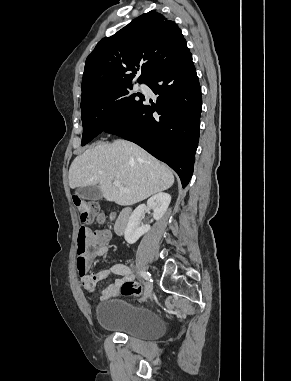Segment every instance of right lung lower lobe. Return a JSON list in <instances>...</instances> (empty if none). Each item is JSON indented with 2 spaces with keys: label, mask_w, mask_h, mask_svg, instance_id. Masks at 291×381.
Listing matches in <instances>:
<instances>
[{
  "label": "right lung lower lobe",
  "mask_w": 291,
  "mask_h": 381,
  "mask_svg": "<svg viewBox=\"0 0 291 381\" xmlns=\"http://www.w3.org/2000/svg\"><path fill=\"white\" fill-rule=\"evenodd\" d=\"M147 85L158 94L105 132L132 141L168 164L189 183L199 141L202 96L192 55L186 47L172 62L153 75Z\"/></svg>",
  "instance_id": "right-lung-lower-lobe-1"
}]
</instances>
